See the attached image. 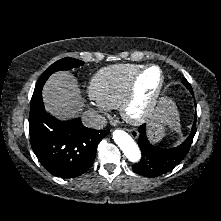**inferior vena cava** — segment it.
I'll list each match as a JSON object with an SVG mask.
<instances>
[{
  "mask_svg": "<svg viewBox=\"0 0 221 221\" xmlns=\"http://www.w3.org/2000/svg\"><path fill=\"white\" fill-rule=\"evenodd\" d=\"M82 122L85 126L94 129H103L107 125L106 118L95 111H86L82 115Z\"/></svg>",
  "mask_w": 221,
  "mask_h": 221,
  "instance_id": "obj_1",
  "label": "inferior vena cava"
}]
</instances>
